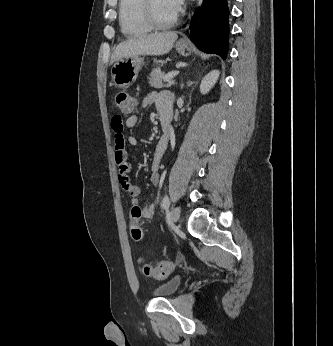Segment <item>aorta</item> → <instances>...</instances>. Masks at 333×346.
<instances>
[{"instance_id":"obj_1","label":"aorta","mask_w":333,"mask_h":346,"mask_svg":"<svg viewBox=\"0 0 333 346\" xmlns=\"http://www.w3.org/2000/svg\"><path fill=\"white\" fill-rule=\"evenodd\" d=\"M203 0H198V6L202 4Z\"/></svg>"}]
</instances>
